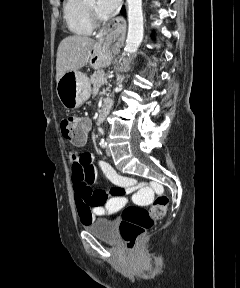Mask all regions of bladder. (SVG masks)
Instances as JSON below:
<instances>
[{
  "label": "bladder",
  "instance_id": "1",
  "mask_svg": "<svg viewBox=\"0 0 240 288\" xmlns=\"http://www.w3.org/2000/svg\"><path fill=\"white\" fill-rule=\"evenodd\" d=\"M85 229L96 238L113 243L116 240V226L111 220L98 219L85 225Z\"/></svg>",
  "mask_w": 240,
  "mask_h": 288
}]
</instances>
